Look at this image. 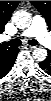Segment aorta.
<instances>
[{"label":"aorta","instance_id":"obj_1","mask_svg":"<svg viewBox=\"0 0 51 101\" xmlns=\"http://www.w3.org/2000/svg\"><path fill=\"white\" fill-rule=\"evenodd\" d=\"M30 21V16L28 13L23 11H17L13 15V22L17 25V27L23 29L24 27H27L28 22ZM45 50L42 48L36 49L34 51L35 57L38 59H43L44 56H46Z\"/></svg>","mask_w":51,"mask_h":101}]
</instances>
